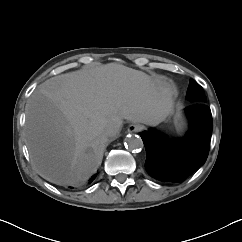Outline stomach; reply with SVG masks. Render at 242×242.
I'll list each match as a JSON object with an SVG mask.
<instances>
[{"label":"stomach","mask_w":242,"mask_h":242,"mask_svg":"<svg viewBox=\"0 0 242 242\" xmlns=\"http://www.w3.org/2000/svg\"><path fill=\"white\" fill-rule=\"evenodd\" d=\"M175 126L179 133H183L186 127V123L181 114L177 113L175 116Z\"/></svg>","instance_id":"1"}]
</instances>
